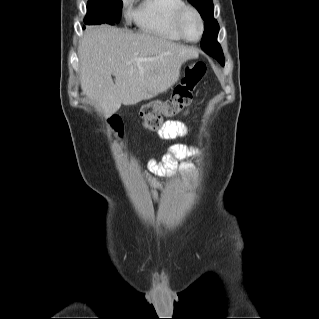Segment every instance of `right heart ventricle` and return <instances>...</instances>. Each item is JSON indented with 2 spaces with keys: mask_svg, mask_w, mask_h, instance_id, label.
Returning a JSON list of instances; mask_svg holds the SVG:
<instances>
[{
  "mask_svg": "<svg viewBox=\"0 0 319 319\" xmlns=\"http://www.w3.org/2000/svg\"><path fill=\"white\" fill-rule=\"evenodd\" d=\"M185 5L184 0H143L130 12L140 30L159 38L179 41L172 27L176 11Z\"/></svg>",
  "mask_w": 319,
  "mask_h": 319,
  "instance_id": "obj_1",
  "label": "right heart ventricle"
}]
</instances>
